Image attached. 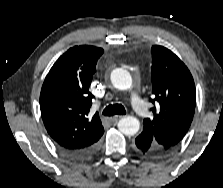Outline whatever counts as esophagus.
Returning <instances> with one entry per match:
<instances>
[{
	"mask_svg": "<svg viewBox=\"0 0 223 188\" xmlns=\"http://www.w3.org/2000/svg\"><path fill=\"white\" fill-rule=\"evenodd\" d=\"M122 117H123L122 115H116V116L111 117L110 120H111V122L115 123Z\"/></svg>",
	"mask_w": 223,
	"mask_h": 188,
	"instance_id": "1",
	"label": "esophagus"
}]
</instances>
